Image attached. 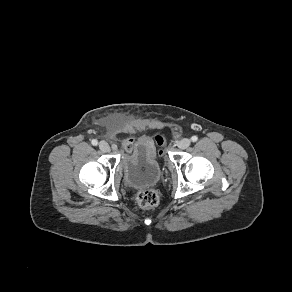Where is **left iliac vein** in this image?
I'll use <instances>...</instances> for the list:
<instances>
[{"label":"left iliac vein","instance_id":"left-iliac-vein-1","mask_svg":"<svg viewBox=\"0 0 292 292\" xmlns=\"http://www.w3.org/2000/svg\"><path fill=\"white\" fill-rule=\"evenodd\" d=\"M190 144H191V140L190 139L183 138L182 140L179 141L178 147L180 149H186V148H188L190 146Z\"/></svg>","mask_w":292,"mask_h":292}]
</instances>
